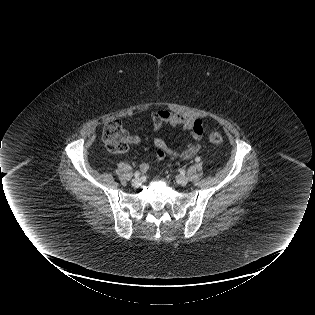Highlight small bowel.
<instances>
[{"mask_svg": "<svg viewBox=\"0 0 315 315\" xmlns=\"http://www.w3.org/2000/svg\"><path fill=\"white\" fill-rule=\"evenodd\" d=\"M149 116L153 122L155 132H159L162 126L166 124L172 127H180L182 130L188 132L195 141H199L206 135L208 130V126L201 120L167 110L155 111L150 113ZM140 142L141 139L138 135H131L128 138V143L132 146H136ZM152 142L156 147V162H161L166 158L171 160H187L194 157L200 150V144L194 142H189L181 150L168 147L164 139L157 136L153 137ZM139 168L142 172H146L150 168V163L143 162Z\"/></svg>", "mask_w": 315, "mask_h": 315, "instance_id": "1", "label": "small bowel"}]
</instances>
